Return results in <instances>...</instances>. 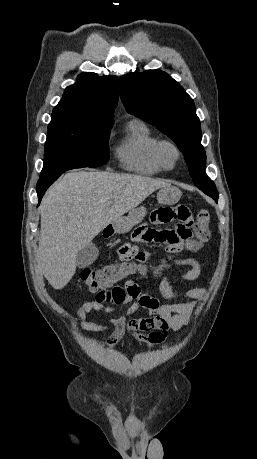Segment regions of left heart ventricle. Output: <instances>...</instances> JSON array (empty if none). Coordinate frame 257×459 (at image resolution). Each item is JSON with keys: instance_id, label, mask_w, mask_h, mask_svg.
I'll use <instances>...</instances> for the list:
<instances>
[{"instance_id": "left-heart-ventricle-1", "label": "left heart ventricle", "mask_w": 257, "mask_h": 459, "mask_svg": "<svg viewBox=\"0 0 257 459\" xmlns=\"http://www.w3.org/2000/svg\"><path fill=\"white\" fill-rule=\"evenodd\" d=\"M164 158L168 164H172L175 160V153L171 148L164 149Z\"/></svg>"}]
</instances>
